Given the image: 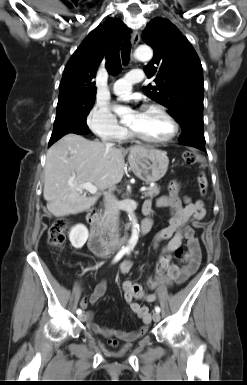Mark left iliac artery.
I'll use <instances>...</instances> for the list:
<instances>
[{
  "mask_svg": "<svg viewBox=\"0 0 247 385\" xmlns=\"http://www.w3.org/2000/svg\"><path fill=\"white\" fill-rule=\"evenodd\" d=\"M155 311L159 313V312H160V307H159V306H156V307H155Z\"/></svg>",
  "mask_w": 247,
  "mask_h": 385,
  "instance_id": "44dca946",
  "label": "left iliac artery"
}]
</instances>
